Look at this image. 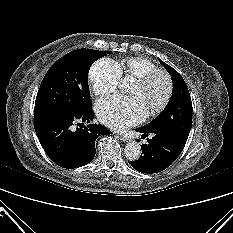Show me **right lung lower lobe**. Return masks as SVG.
Returning <instances> with one entry per match:
<instances>
[{"mask_svg": "<svg viewBox=\"0 0 233 233\" xmlns=\"http://www.w3.org/2000/svg\"><path fill=\"white\" fill-rule=\"evenodd\" d=\"M94 118L91 106L74 113L48 114L34 118V128L40 144L57 165L73 169L90 163L95 156V140L111 131L102 125L77 128L75 122H90Z\"/></svg>", "mask_w": 233, "mask_h": 233, "instance_id": "1", "label": "right lung lower lobe"}]
</instances>
